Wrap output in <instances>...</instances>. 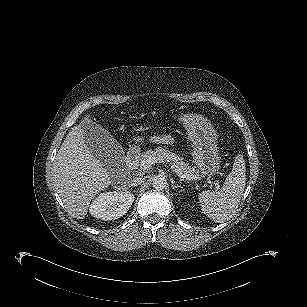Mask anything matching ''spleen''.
<instances>
[{
  "mask_svg": "<svg viewBox=\"0 0 307 307\" xmlns=\"http://www.w3.org/2000/svg\"><path fill=\"white\" fill-rule=\"evenodd\" d=\"M246 167L242 155H237L233 169L220 191H203L199 195L202 213L215 222H224L235 215L244 192Z\"/></svg>",
  "mask_w": 307,
  "mask_h": 307,
  "instance_id": "spleen-1",
  "label": "spleen"
}]
</instances>
